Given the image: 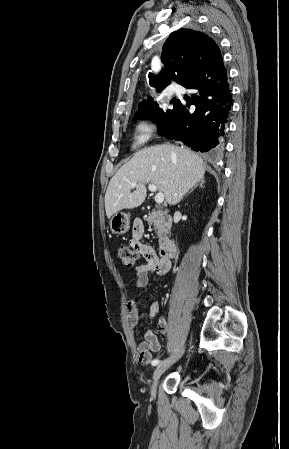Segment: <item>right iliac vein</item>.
Returning <instances> with one entry per match:
<instances>
[{"instance_id":"right-iliac-vein-1","label":"right iliac vein","mask_w":289,"mask_h":449,"mask_svg":"<svg viewBox=\"0 0 289 449\" xmlns=\"http://www.w3.org/2000/svg\"><path fill=\"white\" fill-rule=\"evenodd\" d=\"M184 353V348L182 350L179 351V353L173 357L172 359L166 360L161 362L160 364L157 365L154 373H153V383L151 385V395L155 396L156 395V388H157V384H158V380L161 377V375L172 365L174 364Z\"/></svg>"}]
</instances>
